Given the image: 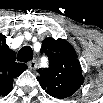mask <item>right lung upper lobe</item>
I'll return each mask as SVG.
<instances>
[{
  "label": "right lung upper lobe",
  "instance_id": "obj_1",
  "mask_svg": "<svg viewBox=\"0 0 103 103\" xmlns=\"http://www.w3.org/2000/svg\"><path fill=\"white\" fill-rule=\"evenodd\" d=\"M4 35H0V90L8 94L13 86V78L19 76L27 66L15 61V52L9 49Z\"/></svg>",
  "mask_w": 103,
  "mask_h": 103
}]
</instances>
